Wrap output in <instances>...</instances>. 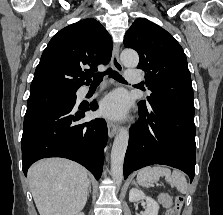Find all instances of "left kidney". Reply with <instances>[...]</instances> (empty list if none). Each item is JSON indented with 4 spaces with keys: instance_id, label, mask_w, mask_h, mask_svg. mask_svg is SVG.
Returning a JSON list of instances; mask_svg holds the SVG:
<instances>
[{
    "instance_id": "obj_1",
    "label": "left kidney",
    "mask_w": 223,
    "mask_h": 215,
    "mask_svg": "<svg viewBox=\"0 0 223 215\" xmlns=\"http://www.w3.org/2000/svg\"><path fill=\"white\" fill-rule=\"evenodd\" d=\"M139 199H146V209L144 215H158L159 205L153 197L145 195L141 189L137 187H132L129 191V201H139Z\"/></svg>"
}]
</instances>
